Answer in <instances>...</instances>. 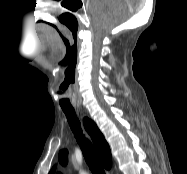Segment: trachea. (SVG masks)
<instances>
[{
    "label": "trachea",
    "mask_w": 187,
    "mask_h": 174,
    "mask_svg": "<svg viewBox=\"0 0 187 174\" xmlns=\"http://www.w3.org/2000/svg\"><path fill=\"white\" fill-rule=\"evenodd\" d=\"M63 112L65 113L67 117V120L76 137V140L81 147V150L85 157V161L87 162L92 173L93 174H105L103 166L93 148V145L82 134L80 122L76 116L75 110L73 108H63Z\"/></svg>",
    "instance_id": "obj_1"
}]
</instances>
